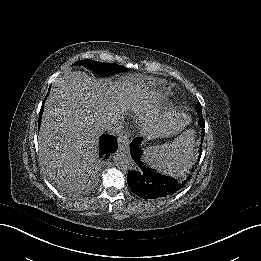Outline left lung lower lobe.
I'll return each instance as SVG.
<instances>
[{"label":"left lung lower lobe","mask_w":261,"mask_h":261,"mask_svg":"<svg viewBox=\"0 0 261 261\" xmlns=\"http://www.w3.org/2000/svg\"><path fill=\"white\" fill-rule=\"evenodd\" d=\"M202 125L204 126V124ZM141 140V137H137L130 144L131 157L139 166L136 170L128 172L127 183L130 189L139 197L147 200L158 201L171 197L184 186L186 172L189 171L186 170L180 179L155 173L140 161Z\"/></svg>","instance_id":"1"}]
</instances>
